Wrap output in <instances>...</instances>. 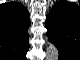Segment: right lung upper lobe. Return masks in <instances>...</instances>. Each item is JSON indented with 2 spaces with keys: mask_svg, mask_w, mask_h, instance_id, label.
I'll return each mask as SVG.
<instances>
[{
  "mask_svg": "<svg viewBox=\"0 0 80 60\" xmlns=\"http://www.w3.org/2000/svg\"><path fill=\"white\" fill-rule=\"evenodd\" d=\"M29 13L20 3L0 6V45L8 56H24L29 48ZM20 59V58H19Z\"/></svg>",
  "mask_w": 80,
  "mask_h": 60,
  "instance_id": "1",
  "label": "right lung upper lobe"
}]
</instances>
